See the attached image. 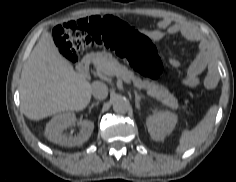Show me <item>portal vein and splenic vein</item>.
Listing matches in <instances>:
<instances>
[{
    "label": "portal vein and splenic vein",
    "instance_id": "18ae733b",
    "mask_svg": "<svg viewBox=\"0 0 236 182\" xmlns=\"http://www.w3.org/2000/svg\"><path fill=\"white\" fill-rule=\"evenodd\" d=\"M123 80H124L126 83H128V84L131 83V80H130L129 78H127V77H123Z\"/></svg>",
    "mask_w": 236,
    "mask_h": 182
}]
</instances>
